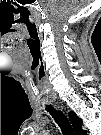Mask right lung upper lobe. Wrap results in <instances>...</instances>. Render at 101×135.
Instances as JSON below:
<instances>
[{
	"label": "right lung upper lobe",
	"instance_id": "right-lung-upper-lobe-1",
	"mask_svg": "<svg viewBox=\"0 0 101 135\" xmlns=\"http://www.w3.org/2000/svg\"><path fill=\"white\" fill-rule=\"evenodd\" d=\"M69 118L72 122V126L78 135H85V131L82 130V120L74 112L69 113Z\"/></svg>",
	"mask_w": 101,
	"mask_h": 135
}]
</instances>
